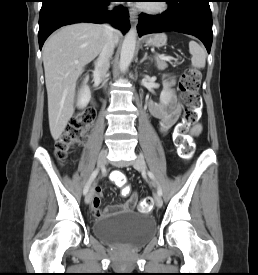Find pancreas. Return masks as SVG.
Here are the masks:
<instances>
[{"label": "pancreas", "instance_id": "obj_1", "mask_svg": "<svg viewBox=\"0 0 258 275\" xmlns=\"http://www.w3.org/2000/svg\"><path fill=\"white\" fill-rule=\"evenodd\" d=\"M155 61L159 70H164L167 67V63L165 60H162L159 57H155Z\"/></svg>", "mask_w": 258, "mask_h": 275}]
</instances>
